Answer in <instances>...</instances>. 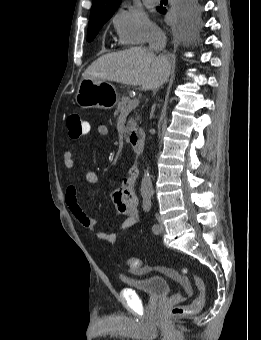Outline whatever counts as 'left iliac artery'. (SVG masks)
<instances>
[{
    "instance_id": "44dca946",
    "label": "left iliac artery",
    "mask_w": 261,
    "mask_h": 340,
    "mask_svg": "<svg viewBox=\"0 0 261 340\" xmlns=\"http://www.w3.org/2000/svg\"><path fill=\"white\" fill-rule=\"evenodd\" d=\"M152 206L151 202V194L144 195V201H143V209L145 212H149ZM158 230V224L152 225V231L155 232Z\"/></svg>"
}]
</instances>
